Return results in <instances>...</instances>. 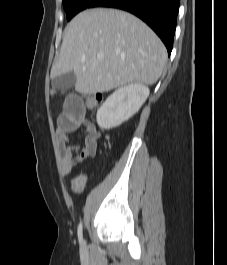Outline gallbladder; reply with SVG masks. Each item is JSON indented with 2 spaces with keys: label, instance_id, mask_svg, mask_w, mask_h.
<instances>
[{
  "label": "gallbladder",
  "instance_id": "gallbladder-1",
  "mask_svg": "<svg viewBox=\"0 0 227 265\" xmlns=\"http://www.w3.org/2000/svg\"><path fill=\"white\" fill-rule=\"evenodd\" d=\"M76 83V76L73 72H68L55 77L52 80V87L58 90H67Z\"/></svg>",
  "mask_w": 227,
  "mask_h": 265
}]
</instances>
